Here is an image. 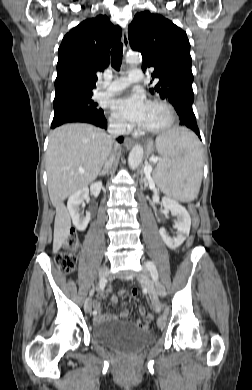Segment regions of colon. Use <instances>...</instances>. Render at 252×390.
<instances>
[{
	"label": "colon",
	"instance_id": "5ec220e1",
	"mask_svg": "<svg viewBox=\"0 0 252 390\" xmlns=\"http://www.w3.org/2000/svg\"><path fill=\"white\" fill-rule=\"evenodd\" d=\"M188 209L192 215V221L194 228H197L199 224V220L196 215V208L195 205L189 204ZM193 238L191 237L188 241V244L192 243ZM79 239L76 234L72 233L63 243L62 250L56 255L55 261L58 266V268L64 272L69 273L74 270L76 264H77V256L76 252L79 249ZM125 293V289H121ZM131 294L133 296H136L138 294V290L136 288H133L131 290ZM152 320V315L147 314L145 316V322L150 323Z\"/></svg>",
	"mask_w": 252,
	"mask_h": 390
}]
</instances>
